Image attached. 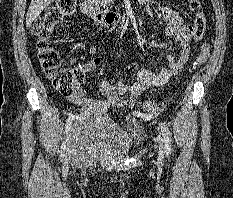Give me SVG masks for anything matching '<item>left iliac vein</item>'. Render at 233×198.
Masks as SVG:
<instances>
[{
	"instance_id": "1",
	"label": "left iliac vein",
	"mask_w": 233,
	"mask_h": 198,
	"mask_svg": "<svg viewBox=\"0 0 233 198\" xmlns=\"http://www.w3.org/2000/svg\"><path fill=\"white\" fill-rule=\"evenodd\" d=\"M157 142L159 144V146H158L159 147V149H158L159 156H160V158H163L164 148H163L162 140L160 138H158Z\"/></svg>"
}]
</instances>
